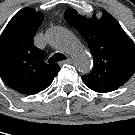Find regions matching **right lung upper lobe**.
Instances as JSON below:
<instances>
[{
	"instance_id": "1",
	"label": "right lung upper lobe",
	"mask_w": 135,
	"mask_h": 135,
	"mask_svg": "<svg viewBox=\"0 0 135 135\" xmlns=\"http://www.w3.org/2000/svg\"><path fill=\"white\" fill-rule=\"evenodd\" d=\"M43 18L41 12L23 8L0 36V76L7 86L21 94L33 95L43 91L60 71L58 64H46L43 52L33 44Z\"/></svg>"
}]
</instances>
